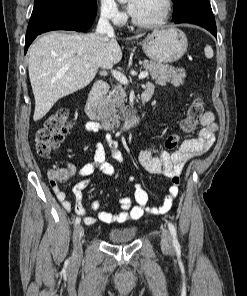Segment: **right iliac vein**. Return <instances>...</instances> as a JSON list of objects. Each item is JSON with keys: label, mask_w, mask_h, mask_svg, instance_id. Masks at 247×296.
Masks as SVG:
<instances>
[{"label": "right iliac vein", "mask_w": 247, "mask_h": 296, "mask_svg": "<svg viewBox=\"0 0 247 296\" xmlns=\"http://www.w3.org/2000/svg\"><path fill=\"white\" fill-rule=\"evenodd\" d=\"M84 235V229L81 225L76 226L73 233L74 256L80 257L82 254L81 239Z\"/></svg>", "instance_id": "63e3f726"}]
</instances>
